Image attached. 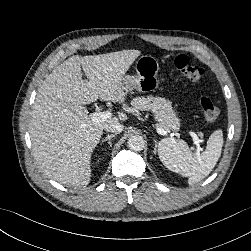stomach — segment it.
I'll use <instances>...</instances> for the list:
<instances>
[{
  "label": "stomach",
  "instance_id": "stomach-1",
  "mask_svg": "<svg viewBox=\"0 0 251 251\" xmlns=\"http://www.w3.org/2000/svg\"><path fill=\"white\" fill-rule=\"evenodd\" d=\"M136 74L122 78L121 88L124 93L138 90L142 93L155 91L158 87V60L151 55H142L135 63Z\"/></svg>",
  "mask_w": 251,
  "mask_h": 251
}]
</instances>
